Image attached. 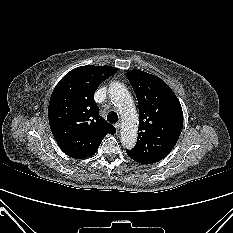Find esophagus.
<instances>
[{
  "label": "esophagus",
  "mask_w": 233,
  "mask_h": 233,
  "mask_svg": "<svg viewBox=\"0 0 233 233\" xmlns=\"http://www.w3.org/2000/svg\"><path fill=\"white\" fill-rule=\"evenodd\" d=\"M115 128H116L117 131L120 129V123L119 122L115 124Z\"/></svg>",
  "instance_id": "34e87169"
}]
</instances>
